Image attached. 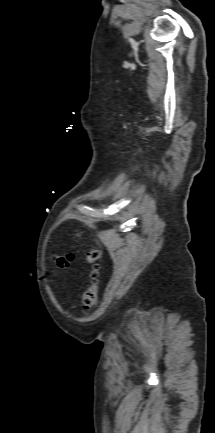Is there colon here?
<instances>
[{
	"instance_id": "colon-1",
	"label": "colon",
	"mask_w": 215,
	"mask_h": 433,
	"mask_svg": "<svg viewBox=\"0 0 215 433\" xmlns=\"http://www.w3.org/2000/svg\"><path fill=\"white\" fill-rule=\"evenodd\" d=\"M73 254L54 256V262L59 269H67L73 262ZM101 251L92 250L88 253V282L82 294L83 313L88 314L95 306L99 292V275H100Z\"/></svg>"
}]
</instances>
